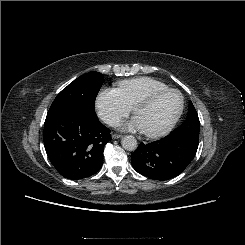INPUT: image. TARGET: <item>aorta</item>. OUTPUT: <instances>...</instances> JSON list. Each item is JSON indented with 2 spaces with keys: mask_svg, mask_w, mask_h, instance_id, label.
<instances>
[{
  "mask_svg": "<svg viewBox=\"0 0 245 245\" xmlns=\"http://www.w3.org/2000/svg\"><path fill=\"white\" fill-rule=\"evenodd\" d=\"M121 144L122 147L127 151H134L138 146L136 138L132 135L124 136L121 139Z\"/></svg>",
  "mask_w": 245,
  "mask_h": 245,
  "instance_id": "aorta-1",
  "label": "aorta"
}]
</instances>
